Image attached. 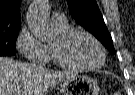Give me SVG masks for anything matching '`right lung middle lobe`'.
I'll return each mask as SVG.
<instances>
[{"label": "right lung middle lobe", "mask_w": 135, "mask_h": 95, "mask_svg": "<svg viewBox=\"0 0 135 95\" xmlns=\"http://www.w3.org/2000/svg\"><path fill=\"white\" fill-rule=\"evenodd\" d=\"M19 30L0 33V56H12L16 54L15 43Z\"/></svg>", "instance_id": "1"}]
</instances>
